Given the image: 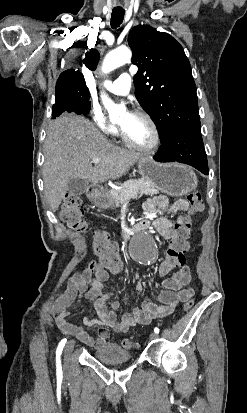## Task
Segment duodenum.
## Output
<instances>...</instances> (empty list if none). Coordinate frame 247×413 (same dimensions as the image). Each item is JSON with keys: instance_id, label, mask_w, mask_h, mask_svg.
Returning a JSON list of instances; mask_svg holds the SVG:
<instances>
[{"instance_id": "duodenum-1", "label": "duodenum", "mask_w": 247, "mask_h": 413, "mask_svg": "<svg viewBox=\"0 0 247 413\" xmlns=\"http://www.w3.org/2000/svg\"><path fill=\"white\" fill-rule=\"evenodd\" d=\"M99 196V187L96 185H92L88 189V197L90 200H96ZM149 226V223L147 221H140L136 223L132 228L131 232H140L144 229H146Z\"/></svg>"}]
</instances>
